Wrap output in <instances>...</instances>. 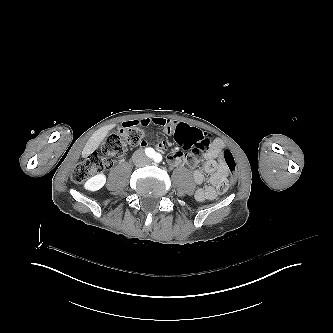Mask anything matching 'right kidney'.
<instances>
[{
  "label": "right kidney",
  "mask_w": 333,
  "mask_h": 333,
  "mask_svg": "<svg viewBox=\"0 0 333 333\" xmlns=\"http://www.w3.org/2000/svg\"><path fill=\"white\" fill-rule=\"evenodd\" d=\"M106 182L107 176L104 173H99L87 179L83 184V189L88 192H95L102 189Z\"/></svg>",
  "instance_id": "ca27d5eb"
}]
</instances>
